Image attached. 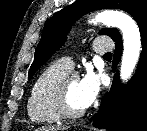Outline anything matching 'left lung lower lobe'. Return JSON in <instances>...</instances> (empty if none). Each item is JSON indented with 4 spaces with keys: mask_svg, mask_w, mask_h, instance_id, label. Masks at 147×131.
Masks as SVG:
<instances>
[{
    "mask_svg": "<svg viewBox=\"0 0 147 131\" xmlns=\"http://www.w3.org/2000/svg\"><path fill=\"white\" fill-rule=\"evenodd\" d=\"M142 52L132 80L122 86L119 73L114 76L110 92L101 102L93 126L108 131H147V21L139 26ZM113 71L122 54V39L115 43Z\"/></svg>",
    "mask_w": 147,
    "mask_h": 131,
    "instance_id": "1",
    "label": "left lung lower lobe"
}]
</instances>
